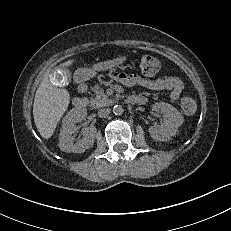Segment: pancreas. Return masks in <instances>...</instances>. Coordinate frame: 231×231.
I'll use <instances>...</instances> for the list:
<instances>
[{"mask_svg":"<svg viewBox=\"0 0 231 231\" xmlns=\"http://www.w3.org/2000/svg\"><path fill=\"white\" fill-rule=\"evenodd\" d=\"M93 91L95 92V97L90 98V105L92 107L100 108L108 106L113 102L99 85H95Z\"/></svg>","mask_w":231,"mask_h":231,"instance_id":"1","label":"pancreas"}]
</instances>
